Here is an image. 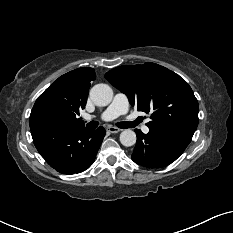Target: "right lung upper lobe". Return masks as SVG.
Returning a JSON list of instances; mask_svg holds the SVG:
<instances>
[{
	"label": "right lung upper lobe",
	"mask_w": 233,
	"mask_h": 233,
	"mask_svg": "<svg viewBox=\"0 0 233 233\" xmlns=\"http://www.w3.org/2000/svg\"><path fill=\"white\" fill-rule=\"evenodd\" d=\"M96 78L93 68H78L54 81L36 100L30 114V130L84 127L76 117L84 109L90 82Z\"/></svg>",
	"instance_id": "right-lung-upper-lobe-1"
}]
</instances>
